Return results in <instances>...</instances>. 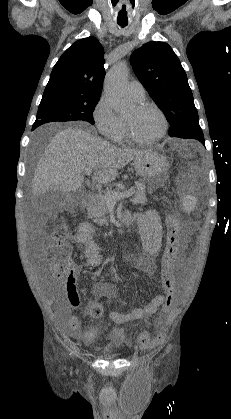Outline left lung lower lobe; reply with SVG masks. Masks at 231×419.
Here are the masks:
<instances>
[{"label":"left lung lower lobe","instance_id":"left-lung-lower-lobe-1","mask_svg":"<svg viewBox=\"0 0 231 419\" xmlns=\"http://www.w3.org/2000/svg\"><path fill=\"white\" fill-rule=\"evenodd\" d=\"M175 137L196 139V140L200 141L203 145H205L202 130L201 131L188 132L186 134L175 136Z\"/></svg>","mask_w":231,"mask_h":419}]
</instances>
